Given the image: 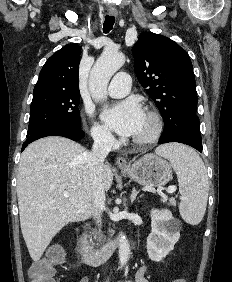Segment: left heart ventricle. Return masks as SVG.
I'll return each mask as SVG.
<instances>
[{"label": "left heart ventricle", "instance_id": "left-heart-ventricle-1", "mask_svg": "<svg viewBox=\"0 0 232 282\" xmlns=\"http://www.w3.org/2000/svg\"><path fill=\"white\" fill-rule=\"evenodd\" d=\"M151 130V122L149 121L148 117L145 114L143 123L139 129V131L133 136L134 138L145 136Z\"/></svg>", "mask_w": 232, "mask_h": 282}]
</instances>
